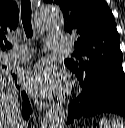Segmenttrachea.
Segmentation results:
<instances>
[{
    "instance_id": "1",
    "label": "trachea",
    "mask_w": 125,
    "mask_h": 128,
    "mask_svg": "<svg viewBox=\"0 0 125 128\" xmlns=\"http://www.w3.org/2000/svg\"><path fill=\"white\" fill-rule=\"evenodd\" d=\"M21 18L25 34L27 38H32L33 29H32V10L30 0H21ZM7 48H12L11 43H6Z\"/></svg>"
}]
</instances>
